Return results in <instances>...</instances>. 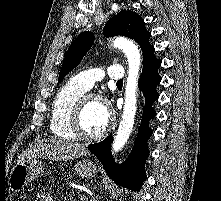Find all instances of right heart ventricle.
<instances>
[{
	"mask_svg": "<svg viewBox=\"0 0 221 201\" xmlns=\"http://www.w3.org/2000/svg\"><path fill=\"white\" fill-rule=\"evenodd\" d=\"M86 91L74 81H70L58 91L50 114V129L55 136L65 140L76 138L71 130L72 113Z\"/></svg>",
	"mask_w": 221,
	"mask_h": 201,
	"instance_id": "1",
	"label": "right heart ventricle"
}]
</instances>
